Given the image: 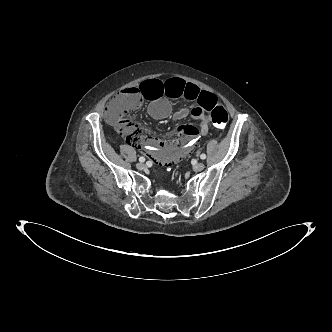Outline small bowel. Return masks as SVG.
<instances>
[{"mask_svg":"<svg viewBox=\"0 0 332 332\" xmlns=\"http://www.w3.org/2000/svg\"><path fill=\"white\" fill-rule=\"evenodd\" d=\"M140 94L144 100L150 102L148 112L155 119H164L171 115L169 98L194 103L190 108L179 109L173 114V117L177 120L191 117L199 122L198 129L190 125L180 126L178 133H169L165 141L147 135L132 126L126 133L130 143L138 145L153 162L163 168H168L177 161L186 159L197 136H206L209 132L210 116L208 113L217 101L216 96L180 78L166 80L159 76L144 80L140 87Z\"/></svg>","mask_w":332,"mask_h":332,"instance_id":"obj_1","label":"small bowel"}]
</instances>
